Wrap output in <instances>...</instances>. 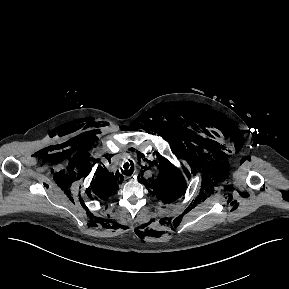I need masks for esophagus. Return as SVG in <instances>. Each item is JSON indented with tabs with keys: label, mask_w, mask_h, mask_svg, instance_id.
I'll use <instances>...</instances> for the list:
<instances>
[{
	"label": "esophagus",
	"mask_w": 289,
	"mask_h": 289,
	"mask_svg": "<svg viewBox=\"0 0 289 289\" xmlns=\"http://www.w3.org/2000/svg\"><path fill=\"white\" fill-rule=\"evenodd\" d=\"M132 177H133L134 179H136V178H137L136 174H135V175H133ZM132 180H133V179H132Z\"/></svg>",
	"instance_id": "esophagus-1"
}]
</instances>
